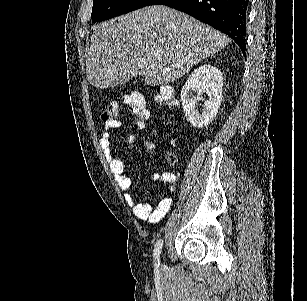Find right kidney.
<instances>
[{
  "label": "right kidney",
  "instance_id": "ca27d5eb",
  "mask_svg": "<svg viewBox=\"0 0 307 301\" xmlns=\"http://www.w3.org/2000/svg\"><path fill=\"white\" fill-rule=\"evenodd\" d=\"M223 74L220 68L212 64H201L189 74L180 94L183 110L188 122L197 128H204L215 118L222 100ZM207 92L202 112L196 108L202 94Z\"/></svg>",
  "mask_w": 307,
  "mask_h": 301
}]
</instances>
